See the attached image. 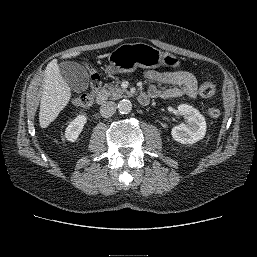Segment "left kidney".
Masks as SVG:
<instances>
[{
  "label": "left kidney",
  "mask_w": 257,
  "mask_h": 257,
  "mask_svg": "<svg viewBox=\"0 0 257 257\" xmlns=\"http://www.w3.org/2000/svg\"><path fill=\"white\" fill-rule=\"evenodd\" d=\"M178 112L185 116L188 123H181L172 128L173 139L182 144H193L203 139L207 128L204 116L197 109L187 104H180Z\"/></svg>",
  "instance_id": "1"
}]
</instances>
